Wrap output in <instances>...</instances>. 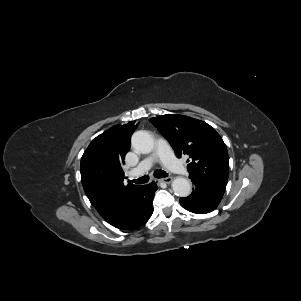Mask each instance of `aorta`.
<instances>
[{"label":"aorta","instance_id":"1","mask_svg":"<svg viewBox=\"0 0 301 301\" xmlns=\"http://www.w3.org/2000/svg\"><path fill=\"white\" fill-rule=\"evenodd\" d=\"M131 144L138 153L148 154L154 148V139L147 131H136L131 137ZM172 189L179 197H187L191 193V184L184 177H176L172 182Z\"/></svg>","mask_w":301,"mask_h":301}]
</instances>
